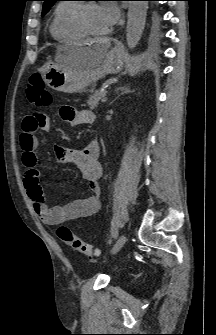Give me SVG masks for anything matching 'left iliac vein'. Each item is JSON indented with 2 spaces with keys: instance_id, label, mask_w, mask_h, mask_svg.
<instances>
[{
  "instance_id": "obj_1",
  "label": "left iliac vein",
  "mask_w": 216,
  "mask_h": 335,
  "mask_svg": "<svg viewBox=\"0 0 216 335\" xmlns=\"http://www.w3.org/2000/svg\"><path fill=\"white\" fill-rule=\"evenodd\" d=\"M126 242V235L122 234L117 242L115 243V245L113 246L112 250H111V254H116L125 244Z\"/></svg>"
}]
</instances>
